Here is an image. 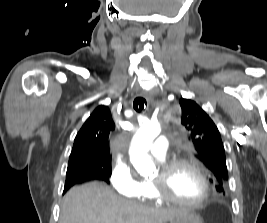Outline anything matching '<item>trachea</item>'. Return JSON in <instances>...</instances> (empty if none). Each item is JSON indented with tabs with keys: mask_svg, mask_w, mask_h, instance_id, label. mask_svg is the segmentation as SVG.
Here are the masks:
<instances>
[{
	"mask_svg": "<svg viewBox=\"0 0 267 223\" xmlns=\"http://www.w3.org/2000/svg\"><path fill=\"white\" fill-rule=\"evenodd\" d=\"M146 105V100L142 97H136L133 102V107L136 111H140L144 109Z\"/></svg>",
	"mask_w": 267,
	"mask_h": 223,
	"instance_id": "1",
	"label": "trachea"
}]
</instances>
